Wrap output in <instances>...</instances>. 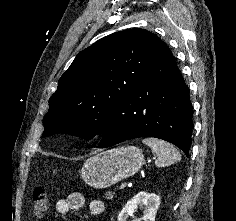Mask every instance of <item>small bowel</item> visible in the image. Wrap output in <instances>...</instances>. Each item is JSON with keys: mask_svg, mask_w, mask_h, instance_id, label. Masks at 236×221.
Returning <instances> with one entry per match:
<instances>
[{"mask_svg": "<svg viewBox=\"0 0 236 221\" xmlns=\"http://www.w3.org/2000/svg\"><path fill=\"white\" fill-rule=\"evenodd\" d=\"M85 198L80 193H72L66 198H61L55 203V212L57 215L66 214L69 211L77 210L83 207ZM89 212L93 218L100 216L104 212V204L100 200H93L89 204Z\"/></svg>", "mask_w": 236, "mask_h": 221, "instance_id": "obj_1", "label": "small bowel"}]
</instances>
